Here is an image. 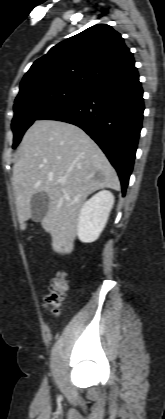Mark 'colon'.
<instances>
[{
  "label": "colon",
  "mask_w": 165,
  "mask_h": 419,
  "mask_svg": "<svg viewBox=\"0 0 165 419\" xmlns=\"http://www.w3.org/2000/svg\"><path fill=\"white\" fill-rule=\"evenodd\" d=\"M67 290V276L64 272H58L51 280L49 292L45 297V305L50 307L54 314H58V309L65 299Z\"/></svg>",
  "instance_id": "obj_1"
}]
</instances>
